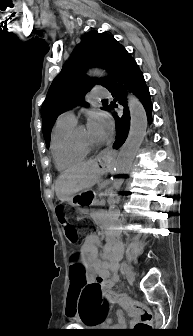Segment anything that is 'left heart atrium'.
<instances>
[{
	"label": "left heart atrium",
	"mask_w": 193,
	"mask_h": 336,
	"mask_svg": "<svg viewBox=\"0 0 193 336\" xmlns=\"http://www.w3.org/2000/svg\"><path fill=\"white\" fill-rule=\"evenodd\" d=\"M112 129L110 117L103 112H94L90 115L87 130L90 136L97 142L104 141Z\"/></svg>",
	"instance_id": "obj_1"
}]
</instances>
